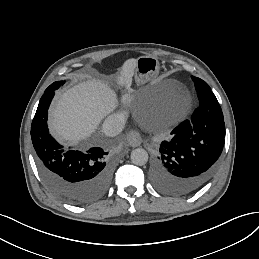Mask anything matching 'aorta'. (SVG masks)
<instances>
[{
    "instance_id": "762f6f07",
    "label": "aorta",
    "mask_w": 259,
    "mask_h": 259,
    "mask_svg": "<svg viewBox=\"0 0 259 259\" xmlns=\"http://www.w3.org/2000/svg\"><path fill=\"white\" fill-rule=\"evenodd\" d=\"M131 161L135 165H145L148 161V153L145 149L143 148H137L134 149L131 152Z\"/></svg>"
}]
</instances>
